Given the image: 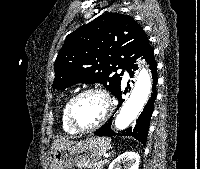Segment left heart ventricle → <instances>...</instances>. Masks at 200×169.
I'll return each instance as SVG.
<instances>
[{
  "mask_svg": "<svg viewBox=\"0 0 200 169\" xmlns=\"http://www.w3.org/2000/svg\"><path fill=\"white\" fill-rule=\"evenodd\" d=\"M105 111L104 99L96 93L82 96L75 104L73 115L76 124L81 128L95 125Z\"/></svg>",
  "mask_w": 200,
  "mask_h": 169,
  "instance_id": "left-heart-ventricle-1",
  "label": "left heart ventricle"
}]
</instances>
